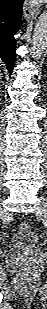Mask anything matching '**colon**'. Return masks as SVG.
Here are the masks:
<instances>
[{"label": "colon", "mask_w": 47, "mask_h": 309, "mask_svg": "<svg viewBox=\"0 0 47 309\" xmlns=\"http://www.w3.org/2000/svg\"><path fill=\"white\" fill-rule=\"evenodd\" d=\"M28 228H29V226L27 224H21L20 225V229L23 230V231L27 230Z\"/></svg>", "instance_id": "obj_1"}]
</instances>
